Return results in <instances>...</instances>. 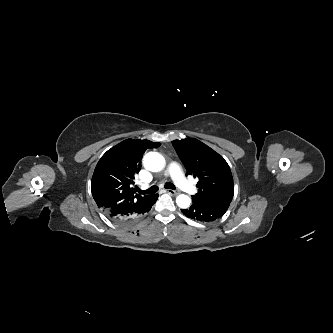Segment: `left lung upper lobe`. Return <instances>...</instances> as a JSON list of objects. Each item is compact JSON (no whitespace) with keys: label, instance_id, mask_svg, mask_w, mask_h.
Segmentation results:
<instances>
[{"label":"left lung upper lobe","instance_id":"5c2ea615","mask_svg":"<svg viewBox=\"0 0 333 333\" xmlns=\"http://www.w3.org/2000/svg\"><path fill=\"white\" fill-rule=\"evenodd\" d=\"M172 144L187 169L186 175L199 178L198 193L192 198L229 207L234 185L224 158L195 138L174 140Z\"/></svg>","mask_w":333,"mask_h":333}]
</instances>
